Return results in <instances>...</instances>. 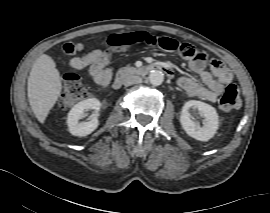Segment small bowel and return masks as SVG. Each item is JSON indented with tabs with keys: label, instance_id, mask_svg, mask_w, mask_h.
<instances>
[{
	"label": "small bowel",
	"instance_id": "obj_1",
	"mask_svg": "<svg viewBox=\"0 0 270 213\" xmlns=\"http://www.w3.org/2000/svg\"><path fill=\"white\" fill-rule=\"evenodd\" d=\"M191 47L198 50L193 46ZM84 48L85 45L81 42L66 43L63 46L64 54L73 56L69 62L70 67L75 70L88 67L89 75L93 81L101 87H107L113 78L112 70L107 66L111 56L104 54L100 49H92L83 55H78ZM186 58L188 59L189 68L197 73L201 80V82H198L192 77H182L180 79L179 85L187 96L202 97L214 101L223 92L225 85L229 84L233 79L229 71L225 77L218 76L215 68L223 65L220 61H212L211 72L206 69L204 61H198L189 56H186ZM168 66L174 73L173 66L170 64Z\"/></svg>",
	"mask_w": 270,
	"mask_h": 213
}]
</instances>
